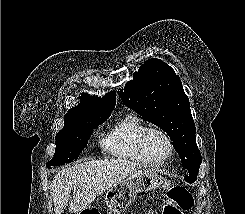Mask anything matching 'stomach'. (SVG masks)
Listing matches in <instances>:
<instances>
[{"instance_id":"obj_1","label":"stomach","mask_w":245,"mask_h":214,"mask_svg":"<svg viewBox=\"0 0 245 214\" xmlns=\"http://www.w3.org/2000/svg\"><path fill=\"white\" fill-rule=\"evenodd\" d=\"M170 183L160 178L157 173L138 169L132 174L128 175L122 182L114 188L106 192L105 201L107 207L114 212V214H121L133 202L135 196L139 192L150 191L156 188L168 189ZM92 210L88 206L83 213H89Z\"/></svg>"}]
</instances>
